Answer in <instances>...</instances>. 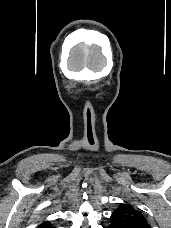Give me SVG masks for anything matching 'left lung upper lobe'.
Wrapping results in <instances>:
<instances>
[{"mask_svg":"<svg viewBox=\"0 0 171 228\" xmlns=\"http://www.w3.org/2000/svg\"><path fill=\"white\" fill-rule=\"evenodd\" d=\"M128 222L148 224L145 216L128 203L121 204L111 215L114 226H122Z\"/></svg>","mask_w":171,"mask_h":228,"instance_id":"5c2ea615","label":"left lung upper lobe"}]
</instances>
